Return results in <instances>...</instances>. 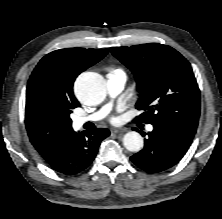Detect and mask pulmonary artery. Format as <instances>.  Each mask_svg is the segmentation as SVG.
<instances>
[{
	"label": "pulmonary artery",
	"mask_w": 222,
	"mask_h": 219,
	"mask_svg": "<svg viewBox=\"0 0 222 219\" xmlns=\"http://www.w3.org/2000/svg\"><path fill=\"white\" fill-rule=\"evenodd\" d=\"M106 78H107L106 80L107 90L111 97H115L122 92L126 83V75L123 71L111 70L107 74ZM110 107H111L110 104H107L92 114L86 116H73L72 118L73 124L75 127H80L87 122L99 121L108 114V112L110 111ZM148 130L152 131L153 126L149 125Z\"/></svg>",
	"instance_id": "e3ab8cb5"
}]
</instances>
